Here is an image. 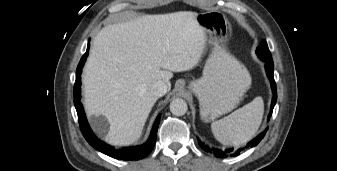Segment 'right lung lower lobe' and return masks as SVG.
<instances>
[{"label": "right lung lower lobe", "mask_w": 337, "mask_h": 171, "mask_svg": "<svg viewBox=\"0 0 337 171\" xmlns=\"http://www.w3.org/2000/svg\"><path fill=\"white\" fill-rule=\"evenodd\" d=\"M87 55H88V48L86 53L81 58L79 65L77 67L76 81L74 84V105L78 114V121L83 136L92 147L112 158L120 160H139L146 157L154 148L161 115L157 117L148 141L145 144L137 147L116 149L113 146H110L102 142L98 138H96L91 128L89 127L82 104L80 102V85H81L80 75L82 67L86 61Z\"/></svg>", "instance_id": "right-lung-lower-lobe-1"}]
</instances>
